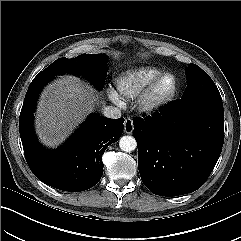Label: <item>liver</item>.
<instances>
[{"label": "liver", "instance_id": "liver-1", "mask_svg": "<svg viewBox=\"0 0 241 241\" xmlns=\"http://www.w3.org/2000/svg\"><path fill=\"white\" fill-rule=\"evenodd\" d=\"M98 98L92 87L73 76L49 84L41 93L36 112L40 141L48 147L61 144L94 111Z\"/></svg>", "mask_w": 241, "mask_h": 241}]
</instances>
